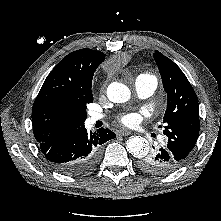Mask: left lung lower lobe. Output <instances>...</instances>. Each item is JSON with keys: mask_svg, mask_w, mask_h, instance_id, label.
<instances>
[{"mask_svg": "<svg viewBox=\"0 0 221 221\" xmlns=\"http://www.w3.org/2000/svg\"><path fill=\"white\" fill-rule=\"evenodd\" d=\"M182 164L166 143L152 146L151 152L138 158L137 161L140 170L154 175L170 174L180 168Z\"/></svg>", "mask_w": 221, "mask_h": 221, "instance_id": "left-lung-lower-lobe-1", "label": "left lung lower lobe"}]
</instances>
